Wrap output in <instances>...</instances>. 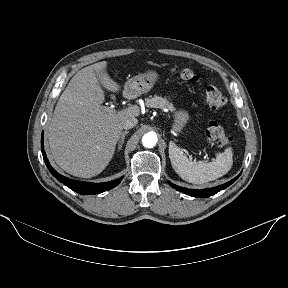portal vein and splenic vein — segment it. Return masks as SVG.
Segmentation results:
<instances>
[{"label": "portal vein and splenic vein", "instance_id": "portal-vein-and-splenic-vein-1", "mask_svg": "<svg viewBox=\"0 0 288 288\" xmlns=\"http://www.w3.org/2000/svg\"><path fill=\"white\" fill-rule=\"evenodd\" d=\"M104 110L109 112V113H114L115 112V109L113 107H105ZM205 158H206V156H205Z\"/></svg>", "mask_w": 288, "mask_h": 288}]
</instances>
